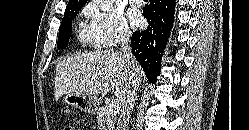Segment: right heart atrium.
Returning a JSON list of instances; mask_svg holds the SVG:
<instances>
[{"label": "right heart atrium", "instance_id": "obj_1", "mask_svg": "<svg viewBox=\"0 0 249 130\" xmlns=\"http://www.w3.org/2000/svg\"><path fill=\"white\" fill-rule=\"evenodd\" d=\"M89 19V32L93 44L98 48H112L125 43L130 29L124 15L114 9L103 10L96 3H89L83 9Z\"/></svg>", "mask_w": 249, "mask_h": 130}]
</instances>
